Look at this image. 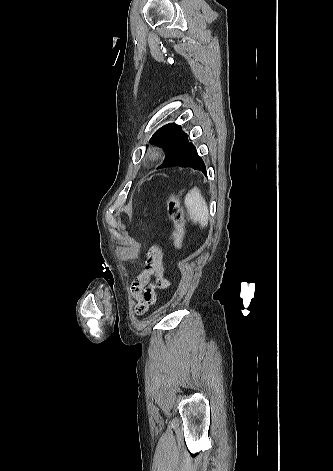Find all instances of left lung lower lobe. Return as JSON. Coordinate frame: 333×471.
Returning a JSON list of instances; mask_svg holds the SVG:
<instances>
[{
    "label": "left lung lower lobe",
    "mask_w": 333,
    "mask_h": 471,
    "mask_svg": "<svg viewBox=\"0 0 333 471\" xmlns=\"http://www.w3.org/2000/svg\"><path fill=\"white\" fill-rule=\"evenodd\" d=\"M169 166L191 167L195 170L201 171L207 175L206 166L197 154L196 148L192 143L186 145L183 149L178 151L168 162Z\"/></svg>",
    "instance_id": "left-lung-lower-lobe-1"
}]
</instances>
